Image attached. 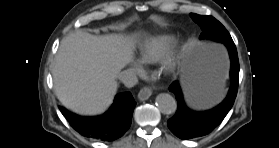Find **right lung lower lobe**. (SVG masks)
Returning a JSON list of instances; mask_svg holds the SVG:
<instances>
[{
	"mask_svg": "<svg viewBox=\"0 0 279 148\" xmlns=\"http://www.w3.org/2000/svg\"><path fill=\"white\" fill-rule=\"evenodd\" d=\"M136 103L130 92L116 95L111 108L101 116H78L62 108L61 112L73 129L85 137L113 141L129 129Z\"/></svg>",
	"mask_w": 279,
	"mask_h": 148,
	"instance_id": "right-lung-lower-lobe-1",
	"label": "right lung lower lobe"
}]
</instances>
